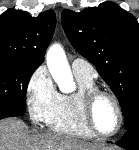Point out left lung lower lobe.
<instances>
[{
  "mask_svg": "<svg viewBox=\"0 0 139 150\" xmlns=\"http://www.w3.org/2000/svg\"><path fill=\"white\" fill-rule=\"evenodd\" d=\"M115 144L127 150H139V126L126 130L122 139Z\"/></svg>",
  "mask_w": 139,
  "mask_h": 150,
  "instance_id": "1",
  "label": "left lung lower lobe"
}]
</instances>
